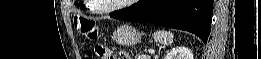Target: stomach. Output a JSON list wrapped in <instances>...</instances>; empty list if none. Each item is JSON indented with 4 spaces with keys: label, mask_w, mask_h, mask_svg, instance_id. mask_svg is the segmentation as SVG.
Segmentation results:
<instances>
[{
    "label": "stomach",
    "mask_w": 261,
    "mask_h": 59,
    "mask_svg": "<svg viewBox=\"0 0 261 59\" xmlns=\"http://www.w3.org/2000/svg\"><path fill=\"white\" fill-rule=\"evenodd\" d=\"M142 35L131 25L123 24L114 30L112 39L119 45L133 46L141 40Z\"/></svg>",
    "instance_id": "0dacf381"
}]
</instances>
